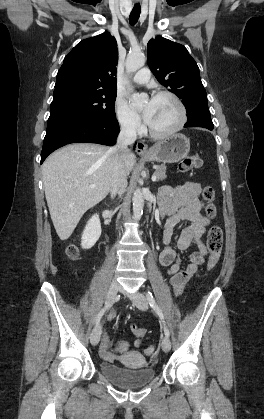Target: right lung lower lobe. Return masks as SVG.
<instances>
[{
    "label": "right lung lower lobe",
    "instance_id": "1",
    "mask_svg": "<svg viewBox=\"0 0 264 419\" xmlns=\"http://www.w3.org/2000/svg\"><path fill=\"white\" fill-rule=\"evenodd\" d=\"M119 131L117 119H81L65 122L46 132L40 163L54 150L74 142L114 145Z\"/></svg>",
    "mask_w": 264,
    "mask_h": 419
}]
</instances>
